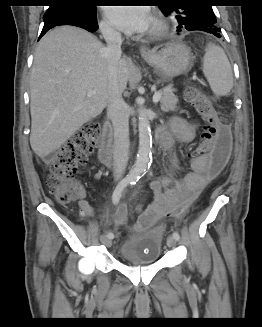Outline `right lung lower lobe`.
Returning <instances> with one entry per match:
<instances>
[{
    "instance_id": "obj_1",
    "label": "right lung lower lobe",
    "mask_w": 262,
    "mask_h": 327,
    "mask_svg": "<svg viewBox=\"0 0 262 327\" xmlns=\"http://www.w3.org/2000/svg\"><path fill=\"white\" fill-rule=\"evenodd\" d=\"M96 11H83L64 5L51 6L43 16L44 26L39 38L51 28L61 25H73L95 32L98 29Z\"/></svg>"
}]
</instances>
